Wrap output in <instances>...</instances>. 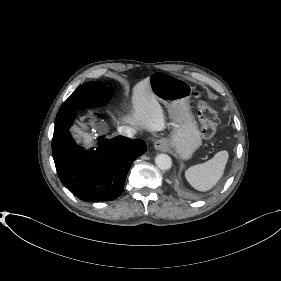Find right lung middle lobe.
<instances>
[{
  "mask_svg": "<svg viewBox=\"0 0 281 281\" xmlns=\"http://www.w3.org/2000/svg\"><path fill=\"white\" fill-rule=\"evenodd\" d=\"M110 89L104 82H88L79 86L60 107L56 121L75 110L102 105L109 98Z\"/></svg>",
  "mask_w": 281,
  "mask_h": 281,
  "instance_id": "obj_1",
  "label": "right lung middle lobe"
}]
</instances>
